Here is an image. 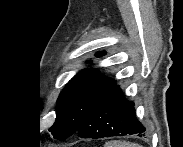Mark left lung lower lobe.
Wrapping results in <instances>:
<instances>
[{"mask_svg":"<svg viewBox=\"0 0 183 147\" xmlns=\"http://www.w3.org/2000/svg\"><path fill=\"white\" fill-rule=\"evenodd\" d=\"M145 127L137 120L134 103L126 100L119 86L106 92L89 112L76 132L82 138L144 135Z\"/></svg>","mask_w":183,"mask_h":147,"instance_id":"0a47b994","label":"left lung lower lobe"}]
</instances>
